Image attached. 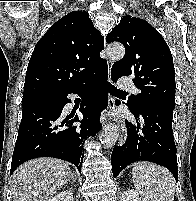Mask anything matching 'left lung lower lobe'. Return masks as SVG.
<instances>
[{"label": "left lung lower lobe", "instance_id": "0a47b994", "mask_svg": "<svg viewBox=\"0 0 196 201\" xmlns=\"http://www.w3.org/2000/svg\"><path fill=\"white\" fill-rule=\"evenodd\" d=\"M119 104L121 102H118ZM129 109L136 118V124L125 122L127 139L122 146L113 149V176L117 177L133 162L149 161L169 169L177 181V150L172 130L173 110L153 103L144 104L138 110Z\"/></svg>", "mask_w": 196, "mask_h": 201}]
</instances>
